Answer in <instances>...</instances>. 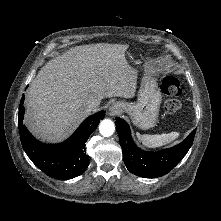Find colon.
I'll return each mask as SVG.
<instances>
[{
	"mask_svg": "<svg viewBox=\"0 0 221 221\" xmlns=\"http://www.w3.org/2000/svg\"><path fill=\"white\" fill-rule=\"evenodd\" d=\"M161 90L166 95L164 109L168 113H174L181 107L179 96L181 94V86L179 80L174 76H166L161 83Z\"/></svg>",
	"mask_w": 221,
	"mask_h": 221,
	"instance_id": "5ec220e1",
	"label": "colon"
}]
</instances>
